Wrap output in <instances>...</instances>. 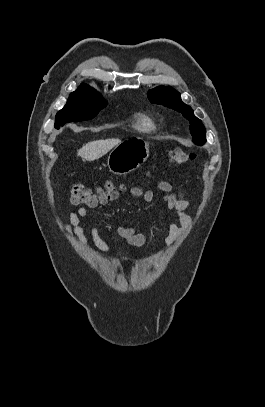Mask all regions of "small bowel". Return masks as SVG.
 <instances>
[{"instance_id":"small-bowel-1","label":"small bowel","mask_w":265,"mask_h":407,"mask_svg":"<svg viewBox=\"0 0 265 407\" xmlns=\"http://www.w3.org/2000/svg\"><path fill=\"white\" fill-rule=\"evenodd\" d=\"M157 188L163 193V201L167 208L175 212L177 221H171L168 225V234L164 240L166 248L174 245L191 225V217L187 213L189 203L182 193H174L172 186L167 181H160ZM130 194L133 197H141L145 202H151L154 198V193L151 190L143 191L140 187H132ZM88 211L84 207H80L77 211L69 213L68 222L65 225L66 231L73 235L78 242L88 251L93 248L100 252L112 253V247L101 237L100 230L97 226H93L90 230L92 245L85 234V230L81 225L82 219L86 218ZM118 235L125 239L133 246H142L147 244L150 240L146 233L136 230L133 226H119L117 227Z\"/></svg>"}]
</instances>
